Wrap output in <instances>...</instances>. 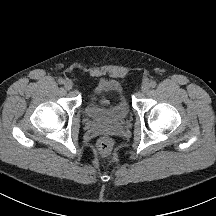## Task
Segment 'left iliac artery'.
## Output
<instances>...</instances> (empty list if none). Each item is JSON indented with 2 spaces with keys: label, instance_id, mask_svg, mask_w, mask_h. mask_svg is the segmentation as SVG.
<instances>
[{
  "label": "left iliac artery",
  "instance_id": "44dca946",
  "mask_svg": "<svg viewBox=\"0 0 216 216\" xmlns=\"http://www.w3.org/2000/svg\"><path fill=\"white\" fill-rule=\"evenodd\" d=\"M156 85H157V83H156L155 81H152V82L150 83V86H151L152 88L156 87Z\"/></svg>",
  "mask_w": 216,
  "mask_h": 216
}]
</instances>
